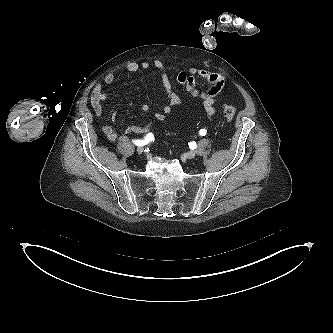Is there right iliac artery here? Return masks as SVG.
I'll return each mask as SVG.
<instances>
[{
	"instance_id": "1",
	"label": "right iliac artery",
	"mask_w": 333,
	"mask_h": 333,
	"mask_svg": "<svg viewBox=\"0 0 333 333\" xmlns=\"http://www.w3.org/2000/svg\"><path fill=\"white\" fill-rule=\"evenodd\" d=\"M151 141H154V135L152 133H148L143 140H133V143L137 146H143Z\"/></svg>"
}]
</instances>
